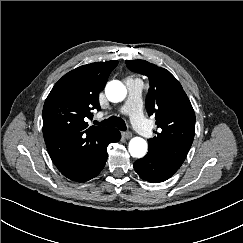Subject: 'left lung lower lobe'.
Instances as JSON below:
<instances>
[{"instance_id":"obj_1","label":"left lung lower lobe","mask_w":243,"mask_h":243,"mask_svg":"<svg viewBox=\"0 0 243 243\" xmlns=\"http://www.w3.org/2000/svg\"><path fill=\"white\" fill-rule=\"evenodd\" d=\"M133 167L139 177L152 183L166 181L180 168L153 153H147L144 158L137 160Z\"/></svg>"}]
</instances>
